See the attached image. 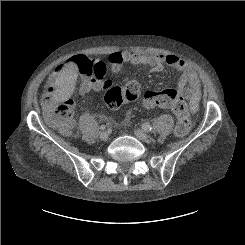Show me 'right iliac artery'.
<instances>
[{
    "instance_id": "right-iliac-artery-1",
    "label": "right iliac artery",
    "mask_w": 245,
    "mask_h": 245,
    "mask_svg": "<svg viewBox=\"0 0 245 245\" xmlns=\"http://www.w3.org/2000/svg\"><path fill=\"white\" fill-rule=\"evenodd\" d=\"M100 129H101V130H104V129H106V126H105V125H101V126H100Z\"/></svg>"
}]
</instances>
